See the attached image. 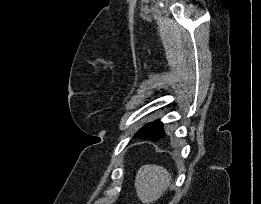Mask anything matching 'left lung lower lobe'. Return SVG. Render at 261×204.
Returning <instances> with one entry per match:
<instances>
[{"instance_id": "0a47b994", "label": "left lung lower lobe", "mask_w": 261, "mask_h": 204, "mask_svg": "<svg viewBox=\"0 0 261 204\" xmlns=\"http://www.w3.org/2000/svg\"><path fill=\"white\" fill-rule=\"evenodd\" d=\"M164 136V131H162L159 135H157L155 138L151 139V140H158L159 138L163 137Z\"/></svg>"}]
</instances>
